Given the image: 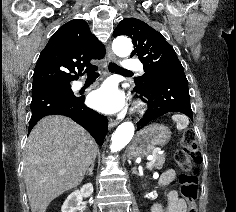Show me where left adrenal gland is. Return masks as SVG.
I'll list each match as a JSON object with an SVG mask.
<instances>
[{
    "label": "left adrenal gland",
    "instance_id": "a2214340",
    "mask_svg": "<svg viewBox=\"0 0 236 212\" xmlns=\"http://www.w3.org/2000/svg\"><path fill=\"white\" fill-rule=\"evenodd\" d=\"M132 173H133V174H136V175H140L135 167L132 168Z\"/></svg>",
    "mask_w": 236,
    "mask_h": 212
}]
</instances>
